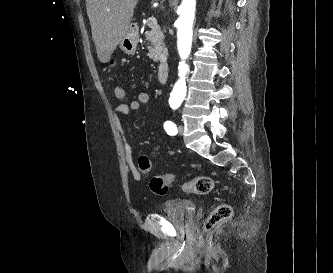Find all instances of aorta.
I'll return each mask as SVG.
<instances>
[{"label":"aorta","instance_id":"762f6f07","mask_svg":"<svg viewBox=\"0 0 333 273\" xmlns=\"http://www.w3.org/2000/svg\"><path fill=\"white\" fill-rule=\"evenodd\" d=\"M196 0H182L178 7L177 48L181 62L178 66L179 80L171 93V103L179 105L186 94V75L189 70L185 60L189 57L192 46L193 23L195 19Z\"/></svg>","mask_w":333,"mask_h":273}]
</instances>
